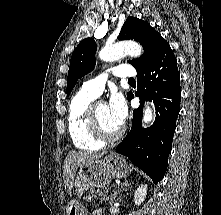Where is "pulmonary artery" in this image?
Segmentation results:
<instances>
[{"mask_svg": "<svg viewBox=\"0 0 221 215\" xmlns=\"http://www.w3.org/2000/svg\"><path fill=\"white\" fill-rule=\"evenodd\" d=\"M108 74H112L115 77L130 79L136 76V71L130 65L115 66L107 72L100 74L96 78L86 81L83 85V91L98 97L104 89Z\"/></svg>", "mask_w": 221, "mask_h": 215, "instance_id": "e3ab8cb5", "label": "pulmonary artery"}]
</instances>
